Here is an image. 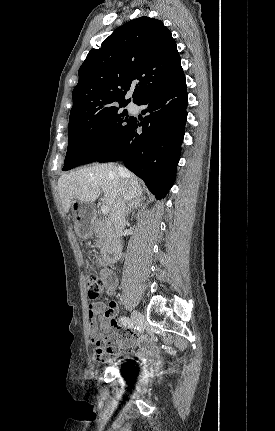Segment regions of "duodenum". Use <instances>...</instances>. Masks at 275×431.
Returning a JSON list of instances; mask_svg holds the SVG:
<instances>
[{
	"label": "duodenum",
	"instance_id": "1",
	"mask_svg": "<svg viewBox=\"0 0 275 431\" xmlns=\"http://www.w3.org/2000/svg\"><path fill=\"white\" fill-rule=\"evenodd\" d=\"M100 226L105 230L112 231V224L108 220L99 222ZM122 245L120 239L113 235L110 241L103 248V257L109 263L117 262L121 257Z\"/></svg>",
	"mask_w": 275,
	"mask_h": 431
}]
</instances>
